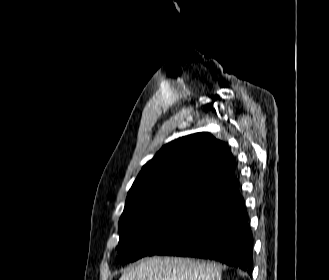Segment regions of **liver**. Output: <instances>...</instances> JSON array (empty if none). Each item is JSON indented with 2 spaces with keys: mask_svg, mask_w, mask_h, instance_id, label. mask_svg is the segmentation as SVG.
Masks as SVG:
<instances>
[{
  "mask_svg": "<svg viewBox=\"0 0 329 280\" xmlns=\"http://www.w3.org/2000/svg\"><path fill=\"white\" fill-rule=\"evenodd\" d=\"M119 280H221V269L213 262L151 257L128 269Z\"/></svg>",
  "mask_w": 329,
  "mask_h": 280,
  "instance_id": "obj_1",
  "label": "liver"
}]
</instances>
